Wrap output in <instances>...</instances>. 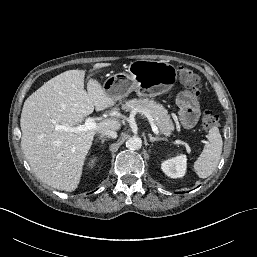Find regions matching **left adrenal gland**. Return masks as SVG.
Returning a JSON list of instances; mask_svg holds the SVG:
<instances>
[{
  "label": "left adrenal gland",
  "instance_id": "left-adrenal-gland-1",
  "mask_svg": "<svg viewBox=\"0 0 257 257\" xmlns=\"http://www.w3.org/2000/svg\"><path fill=\"white\" fill-rule=\"evenodd\" d=\"M149 138H150V142H156V141H164L166 140V138H161V137H154L152 134H148Z\"/></svg>",
  "mask_w": 257,
  "mask_h": 257
}]
</instances>
